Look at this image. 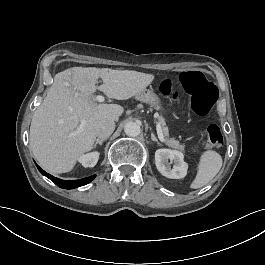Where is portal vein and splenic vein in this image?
I'll return each instance as SVG.
<instances>
[{
  "mask_svg": "<svg viewBox=\"0 0 265 265\" xmlns=\"http://www.w3.org/2000/svg\"><path fill=\"white\" fill-rule=\"evenodd\" d=\"M95 99L98 102H104V97L101 96V95H97ZM85 124H86V121L85 120H81L80 121V125L77 128V130H76V133L82 132ZM156 130H157V134H158L159 140L162 141V142H164L165 139H164V135H163V131H162V127H161L160 123H157Z\"/></svg>",
  "mask_w": 265,
  "mask_h": 265,
  "instance_id": "1",
  "label": "portal vein and splenic vein"
}]
</instances>
